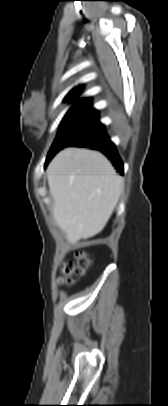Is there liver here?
Instances as JSON below:
<instances>
[{
	"label": "liver",
	"mask_w": 168,
	"mask_h": 406,
	"mask_svg": "<svg viewBox=\"0 0 168 406\" xmlns=\"http://www.w3.org/2000/svg\"><path fill=\"white\" fill-rule=\"evenodd\" d=\"M46 174L53 217L67 241L75 244L100 233L123 191V179L108 159L97 151L67 148Z\"/></svg>",
	"instance_id": "liver-1"
}]
</instances>
